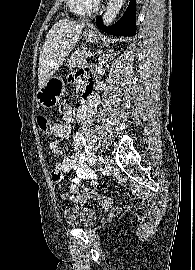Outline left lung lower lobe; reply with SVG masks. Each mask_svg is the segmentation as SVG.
I'll return each mask as SVG.
<instances>
[{
  "label": "left lung lower lobe",
  "mask_w": 195,
  "mask_h": 270,
  "mask_svg": "<svg viewBox=\"0 0 195 270\" xmlns=\"http://www.w3.org/2000/svg\"><path fill=\"white\" fill-rule=\"evenodd\" d=\"M136 0H131L123 17L114 25L105 27L101 16L96 19V25L102 31L117 36H134L136 34Z\"/></svg>",
  "instance_id": "1"
}]
</instances>
